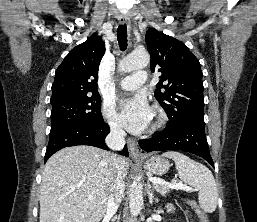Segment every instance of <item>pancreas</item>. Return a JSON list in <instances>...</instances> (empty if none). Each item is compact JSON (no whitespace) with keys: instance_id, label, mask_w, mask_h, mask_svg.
<instances>
[{"instance_id":"pancreas-1","label":"pancreas","mask_w":257,"mask_h":222,"mask_svg":"<svg viewBox=\"0 0 257 222\" xmlns=\"http://www.w3.org/2000/svg\"><path fill=\"white\" fill-rule=\"evenodd\" d=\"M153 187L156 191L161 193V195H166L168 192H170V188L160 185V184H153Z\"/></svg>"}]
</instances>
